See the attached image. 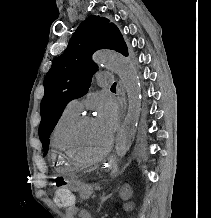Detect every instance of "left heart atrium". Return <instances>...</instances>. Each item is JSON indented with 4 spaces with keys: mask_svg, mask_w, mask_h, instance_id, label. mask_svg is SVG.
Instances as JSON below:
<instances>
[{
    "mask_svg": "<svg viewBox=\"0 0 211 218\" xmlns=\"http://www.w3.org/2000/svg\"><path fill=\"white\" fill-rule=\"evenodd\" d=\"M96 124L107 134L113 135L119 124V113L116 104L107 96H101L95 104Z\"/></svg>",
    "mask_w": 211,
    "mask_h": 218,
    "instance_id": "1",
    "label": "left heart atrium"
}]
</instances>
